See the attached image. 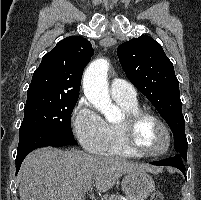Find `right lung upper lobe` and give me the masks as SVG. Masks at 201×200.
Masks as SVG:
<instances>
[{
    "instance_id": "right-lung-upper-lobe-1",
    "label": "right lung upper lobe",
    "mask_w": 201,
    "mask_h": 200,
    "mask_svg": "<svg viewBox=\"0 0 201 200\" xmlns=\"http://www.w3.org/2000/svg\"><path fill=\"white\" fill-rule=\"evenodd\" d=\"M91 43L80 36H70L46 55L35 70L27 93L48 92L79 97L81 77L93 56Z\"/></svg>"
}]
</instances>
